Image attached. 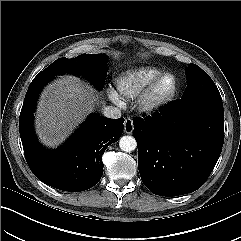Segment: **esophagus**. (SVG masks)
<instances>
[{"label":"esophagus","mask_w":241,"mask_h":241,"mask_svg":"<svg viewBox=\"0 0 241 241\" xmlns=\"http://www.w3.org/2000/svg\"><path fill=\"white\" fill-rule=\"evenodd\" d=\"M133 130H134V125H133L132 119L131 118L125 119L124 132L127 134H132Z\"/></svg>","instance_id":"esophagus-1"}]
</instances>
